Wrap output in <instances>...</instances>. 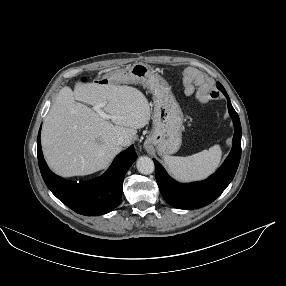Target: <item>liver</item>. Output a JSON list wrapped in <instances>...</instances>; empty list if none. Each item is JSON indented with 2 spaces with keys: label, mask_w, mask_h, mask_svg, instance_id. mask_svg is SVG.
I'll use <instances>...</instances> for the list:
<instances>
[{
  "label": "liver",
  "mask_w": 286,
  "mask_h": 286,
  "mask_svg": "<svg viewBox=\"0 0 286 286\" xmlns=\"http://www.w3.org/2000/svg\"><path fill=\"white\" fill-rule=\"evenodd\" d=\"M103 110L111 121L82 103ZM144 94L129 86L76 82L74 91L60 90L46 116L41 133L42 149L49 167L64 177L88 175L106 168L121 151L120 137L129 146L150 120Z\"/></svg>",
  "instance_id": "liver-1"
}]
</instances>
